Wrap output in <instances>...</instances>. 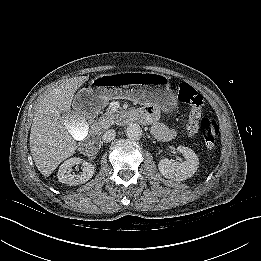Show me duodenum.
Segmentation results:
<instances>
[{
  "label": "duodenum",
  "instance_id": "410a0bca",
  "mask_svg": "<svg viewBox=\"0 0 261 261\" xmlns=\"http://www.w3.org/2000/svg\"><path fill=\"white\" fill-rule=\"evenodd\" d=\"M126 117L128 119H134L135 118V111L130 110L127 112ZM100 146V140L99 137L96 135L92 138H90L87 142L83 143L80 146V150L85 155H91L93 154Z\"/></svg>",
  "mask_w": 261,
  "mask_h": 261
}]
</instances>
